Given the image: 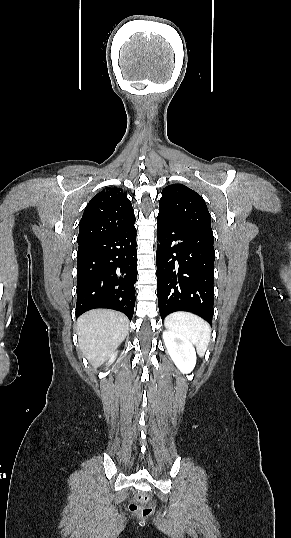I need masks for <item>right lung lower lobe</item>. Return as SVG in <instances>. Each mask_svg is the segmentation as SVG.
<instances>
[{"instance_id":"1","label":"right lung lower lobe","mask_w":291,"mask_h":538,"mask_svg":"<svg viewBox=\"0 0 291 538\" xmlns=\"http://www.w3.org/2000/svg\"><path fill=\"white\" fill-rule=\"evenodd\" d=\"M137 280L134 224L109 236L79 245L76 316L95 308L132 318Z\"/></svg>"}]
</instances>
